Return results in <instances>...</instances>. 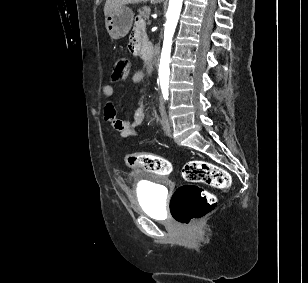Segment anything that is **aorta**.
I'll use <instances>...</instances> for the list:
<instances>
[{
    "label": "aorta",
    "mask_w": 308,
    "mask_h": 283,
    "mask_svg": "<svg viewBox=\"0 0 308 283\" xmlns=\"http://www.w3.org/2000/svg\"><path fill=\"white\" fill-rule=\"evenodd\" d=\"M182 2L183 0L169 1V7L166 15L167 20L164 29V43L159 65V78L162 88H167L169 85V76H170L169 63H170L172 38L180 16Z\"/></svg>",
    "instance_id": "762f6f07"
}]
</instances>
